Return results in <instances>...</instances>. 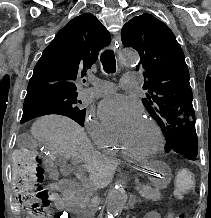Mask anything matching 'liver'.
I'll return each mask as SVG.
<instances>
[{
  "mask_svg": "<svg viewBox=\"0 0 211 218\" xmlns=\"http://www.w3.org/2000/svg\"><path fill=\"white\" fill-rule=\"evenodd\" d=\"M31 134L45 142L52 158L64 156L87 164L90 180L101 186L110 184L117 164L111 162L91 146L84 128L64 116H43L34 122Z\"/></svg>",
  "mask_w": 211,
  "mask_h": 218,
  "instance_id": "6515ba94",
  "label": "liver"
}]
</instances>
